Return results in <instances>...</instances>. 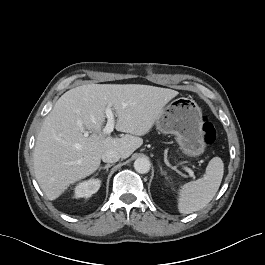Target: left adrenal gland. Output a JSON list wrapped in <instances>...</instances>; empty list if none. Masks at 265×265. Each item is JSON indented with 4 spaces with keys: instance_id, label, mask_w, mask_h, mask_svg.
Returning <instances> with one entry per match:
<instances>
[{
    "instance_id": "obj_1",
    "label": "left adrenal gland",
    "mask_w": 265,
    "mask_h": 265,
    "mask_svg": "<svg viewBox=\"0 0 265 265\" xmlns=\"http://www.w3.org/2000/svg\"><path fill=\"white\" fill-rule=\"evenodd\" d=\"M161 174L166 176V172L162 170V167L160 166Z\"/></svg>"
}]
</instances>
